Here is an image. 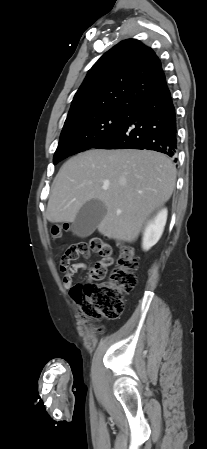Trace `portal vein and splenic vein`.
<instances>
[{
    "label": "portal vein and splenic vein",
    "instance_id": "portal-vein-and-splenic-vein-1",
    "mask_svg": "<svg viewBox=\"0 0 207 449\" xmlns=\"http://www.w3.org/2000/svg\"><path fill=\"white\" fill-rule=\"evenodd\" d=\"M108 186H109L108 183H105V184L103 185L102 188H103L104 190H106V189H108Z\"/></svg>",
    "mask_w": 207,
    "mask_h": 449
}]
</instances>
